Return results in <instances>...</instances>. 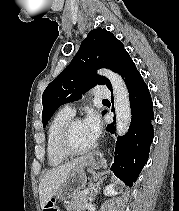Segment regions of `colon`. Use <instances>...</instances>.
<instances>
[{
	"mask_svg": "<svg viewBox=\"0 0 179 211\" xmlns=\"http://www.w3.org/2000/svg\"><path fill=\"white\" fill-rule=\"evenodd\" d=\"M43 211H59V208L54 202H48L44 208Z\"/></svg>",
	"mask_w": 179,
	"mask_h": 211,
	"instance_id": "obj_1",
	"label": "colon"
}]
</instances>
